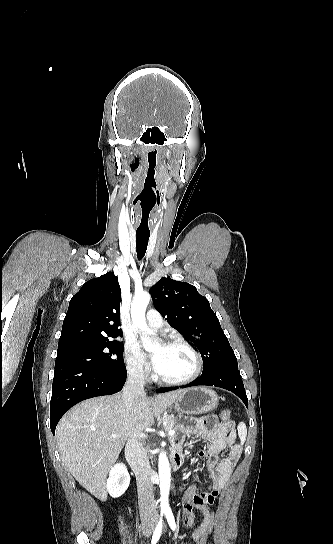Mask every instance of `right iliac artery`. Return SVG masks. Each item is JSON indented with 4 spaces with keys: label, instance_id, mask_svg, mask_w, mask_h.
I'll return each mask as SVG.
<instances>
[{
    "label": "right iliac artery",
    "instance_id": "right-iliac-artery-1",
    "mask_svg": "<svg viewBox=\"0 0 333 544\" xmlns=\"http://www.w3.org/2000/svg\"><path fill=\"white\" fill-rule=\"evenodd\" d=\"M161 533H162V515L153 533L152 540H151L152 544H156L158 542L161 536Z\"/></svg>",
    "mask_w": 333,
    "mask_h": 544
}]
</instances>
